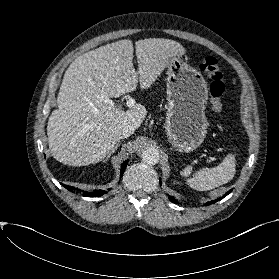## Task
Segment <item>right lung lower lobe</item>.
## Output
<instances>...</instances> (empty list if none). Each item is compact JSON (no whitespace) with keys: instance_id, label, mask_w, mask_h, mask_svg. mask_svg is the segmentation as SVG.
I'll return each instance as SVG.
<instances>
[{"instance_id":"1","label":"right lung lower lobe","mask_w":279,"mask_h":279,"mask_svg":"<svg viewBox=\"0 0 279 279\" xmlns=\"http://www.w3.org/2000/svg\"><path fill=\"white\" fill-rule=\"evenodd\" d=\"M127 163H128V160L122 163V165H121V175L124 173V170L126 168ZM64 187L67 188L69 191H73V189H74V187L67 186V185H65ZM105 193H107V191H105V190H96V191L90 192L86 195L88 197H98V196H102Z\"/></svg>"}]
</instances>
